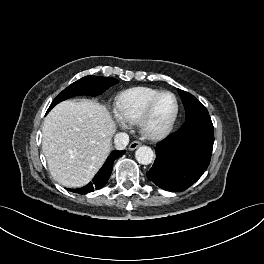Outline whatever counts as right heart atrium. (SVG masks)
<instances>
[{
  "label": "right heart atrium",
  "mask_w": 264,
  "mask_h": 264,
  "mask_svg": "<svg viewBox=\"0 0 264 264\" xmlns=\"http://www.w3.org/2000/svg\"><path fill=\"white\" fill-rule=\"evenodd\" d=\"M118 122H119L122 126H125V122L122 121L120 118H118Z\"/></svg>",
  "instance_id": "1"
}]
</instances>
